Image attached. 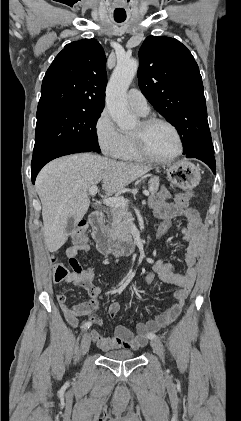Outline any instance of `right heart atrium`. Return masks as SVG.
<instances>
[{
    "label": "right heart atrium",
    "mask_w": 241,
    "mask_h": 421,
    "mask_svg": "<svg viewBox=\"0 0 241 421\" xmlns=\"http://www.w3.org/2000/svg\"><path fill=\"white\" fill-rule=\"evenodd\" d=\"M97 143L106 156L117 157L122 143V132L117 128L107 109L102 110L94 125Z\"/></svg>",
    "instance_id": "1"
}]
</instances>
